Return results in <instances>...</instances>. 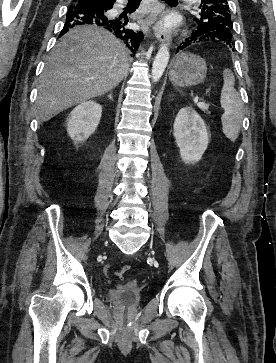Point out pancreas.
<instances>
[{
    "label": "pancreas",
    "mask_w": 276,
    "mask_h": 363,
    "mask_svg": "<svg viewBox=\"0 0 276 363\" xmlns=\"http://www.w3.org/2000/svg\"><path fill=\"white\" fill-rule=\"evenodd\" d=\"M204 112H206L207 114H210V112L208 111V105H206L205 108H201Z\"/></svg>",
    "instance_id": "cf45deb5"
}]
</instances>
